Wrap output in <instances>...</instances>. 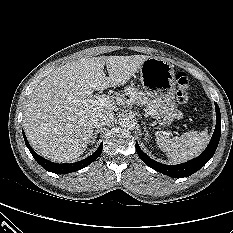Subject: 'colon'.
Masks as SVG:
<instances>
[{
  "label": "colon",
  "instance_id": "5ec220e1",
  "mask_svg": "<svg viewBox=\"0 0 233 233\" xmlns=\"http://www.w3.org/2000/svg\"><path fill=\"white\" fill-rule=\"evenodd\" d=\"M177 83V100L181 104H187L191 100V81L184 72H179L175 76Z\"/></svg>",
  "mask_w": 233,
  "mask_h": 233
}]
</instances>
